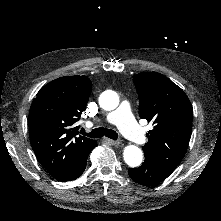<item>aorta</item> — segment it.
<instances>
[{
  "instance_id": "aorta-1",
  "label": "aorta",
  "mask_w": 221,
  "mask_h": 221,
  "mask_svg": "<svg viewBox=\"0 0 221 221\" xmlns=\"http://www.w3.org/2000/svg\"><path fill=\"white\" fill-rule=\"evenodd\" d=\"M99 104L104 110H114L119 105V97L114 91L103 93L99 98ZM123 157L125 163L130 167H138L143 161L142 150L135 145L126 146Z\"/></svg>"
}]
</instances>
